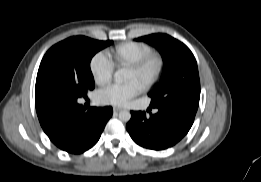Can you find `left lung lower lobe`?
Here are the masks:
<instances>
[{
    "label": "left lung lower lobe",
    "instance_id": "obj_1",
    "mask_svg": "<svg viewBox=\"0 0 261 182\" xmlns=\"http://www.w3.org/2000/svg\"><path fill=\"white\" fill-rule=\"evenodd\" d=\"M158 112L147 117L145 112L132 111L126 128L131 138L140 146L162 150L179 142L190 130L198 104L180 102L157 107Z\"/></svg>",
    "mask_w": 261,
    "mask_h": 182
}]
</instances>
